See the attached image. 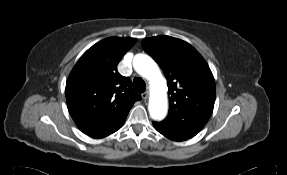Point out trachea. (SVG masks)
<instances>
[{"label":"trachea","mask_w":287,"mask_h":175,"mask_svg":"<svg viewBox=\"0 0 287 175\" xmlns=\"http://www.w3.org/2000/svg\"><path fill=\"white\" fill-rule=\"evenodd\" d=\"M133 87L136 92L143 93L146 90V84L140 77H135L133 80Z\"/></svg>","instance_id":"trachea-1"}]
</instances>
